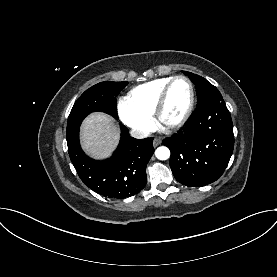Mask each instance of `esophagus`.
Listing matches in <instances>:
<instances>
[{"instance_id":"1","label":"esophagus","mask_w":277,"mask_h":277,"mask_svg":"<svg viewBox=\"0 0 277 277\" xmlns=\"http://www.w3.org/2000/svg\"><path fill=\"white\" fill-rule=\"evenodd\" d=\"M161 144V139L160 138H155L154 140H153V146L154 147H157L158 145H160Z\"/></svg>"}]
</instances>
